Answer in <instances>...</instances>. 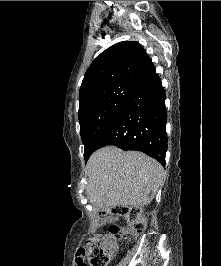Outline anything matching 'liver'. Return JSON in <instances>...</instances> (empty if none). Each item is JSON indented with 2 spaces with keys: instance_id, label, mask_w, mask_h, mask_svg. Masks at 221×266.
Instances as JSON below:
<instances>
[{
  "instance_id": "liver-1",
  "label": "liver",
  "mask_w": 221,
  "mask_h": 266,
  "mask_svg": "<svg viewBox=\"0 0 221 266\" xmlns=\"http://www.w3.org/2000/svg\"><path fill=\"white\" fill-rule=\"evenodd\" d=\"M89 200L98 208L145 206L164 177L160 163L141 152L108 146L94 152L86 166Z\"/></svg>"
}]
</instances>
